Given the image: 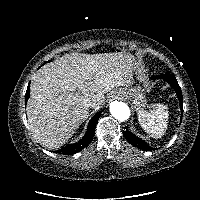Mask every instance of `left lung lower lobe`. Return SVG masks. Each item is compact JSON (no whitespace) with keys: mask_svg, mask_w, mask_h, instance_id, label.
Masks as SVG:
<instances>
[{"mask_svg":"<svg viewBox=\"0 0 200 200\" xmlns=\"http://www.w3.org/2000/svg\"><path fill=\"white\" fill-rule=\"evenodd\" d=\"M153 79H163V80L167 81L171 85V87L177 93V96H178V99H179V102H180V108H181L182 114H183L182 92H181L180 86H179L175 76L173 74H162V75L154 77ZM182 114H181V117L183 116ZM123 134H124L125 138L127 139V141L131 145H133V146H135V147H137L139 149L145 150V151H150V150L153 149L145 141L139 139L134 134L129 132L127 129H126V131H123Z\"/></svg>","mask_w":200,"mask_h":200,"instance_id":"obj_1","label":"left lung lower lobe"}]
</instances>
